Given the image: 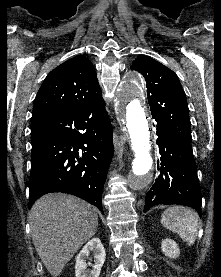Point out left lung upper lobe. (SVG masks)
Wrapping results in <instances>:
<instances>
[{"instance_id": "1", "label": "left lung upper lobe", "mask_w": 221, "mask_h": 277, "mask_svg": "<svg viewBox=\"0 0 221 277\" xmlns=\"http://www.w3.org/2000/svg\"><path fill=\"white\" fill-rule=\"evenodd\" d=\"M131 69L140 72L146 80L148 103L155 121L191 144L189 109L177 75L160 62L143 55L132 62Z\"/></svg>"}]
</instances>
